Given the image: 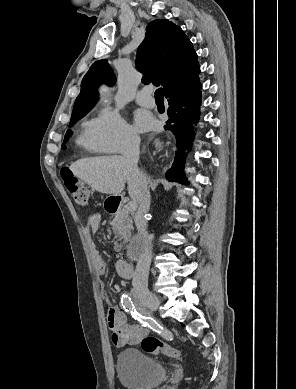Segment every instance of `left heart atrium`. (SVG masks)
Masks as SVG:
<instances>
[{
  "label": "left heart atrium",
  "instance_id": "obj_1",
  "mask_svg": "<svg viewBox=\"0 0 296 389\" xmlns=\"http://www.w3.org/2000/svg\"><path fill=\"white\" fill-rule=\"evenodd\" d=\"M134 123L138 130H148L153 123L151 115L144 110H137L134 113Z\"/></svg>",
  "mask_w": 296,
  "mask_h": 389
}]
</instances>
